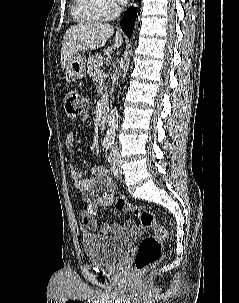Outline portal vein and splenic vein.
Segmentation results:
<instances>
[{"label":"portal vein and splenic vein","instance_id":"1","mask_svg":"<svg viewBox=\"0 0 239 303\" xmlns=\"http://www.w3.org/2000/svg\"><path fill=\"white\" fill-rule=\"evenodd\" d=\"M105 76V73L103 72V70L99 69V71L97 72V77L98 79L102 78Z\"/></svg>","mask_w":239,"mask_h":303}]
</instances>
